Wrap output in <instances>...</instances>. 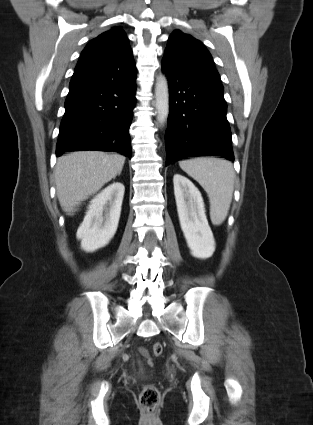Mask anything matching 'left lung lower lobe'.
Segmentation results:
<instances>
[{"label":"left lung lower lobe","mask_w":313,"mask_h":425,"mask_svg":"<svg viewBox=\"0 0 313 425\" xmlns=\"http://www.w3.org/2000/svg\"><path fill=\"white\" fill-rule=\"evenodd\" d=\"M162 69L170 92L166 164L195 156L234 161L222 83L190 76L164 60Z\"/></svg>","instance_id":"obj_1"}]
</instances>
